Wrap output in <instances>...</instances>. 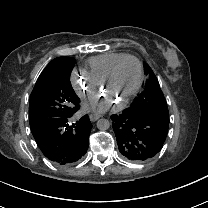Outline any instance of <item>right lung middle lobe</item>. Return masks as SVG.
<instances>
[{
  "label": "right lung middle lobe",
  "instance_id": "dd1d6c3e",
  "mask_svg": "<svg viewBox=\"0 0 208 208\" xmlns=\"http://www.w3.org/2000/svg\"><path fill=\"white\" fill-rule=\"evenodd\" d=\"M74 62L71 57L55 58L40 74L30 96V122L72 115L79 109V98L70 83Z\"/></svg>",
  "mask_w": 208,
  "mask_h": 208
}]
</instances>
